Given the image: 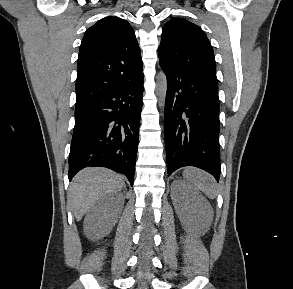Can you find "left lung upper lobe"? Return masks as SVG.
Masks as SVG:
<instances>
[{
	"label": "left lung upper lobe",
	"instance_id": "left-lung-upper-lobe-1",
	"mask_svg": "<svg viewBox=\"0 0 293 289\" xmlns=\"http://www.w3.org/2000/svg\"><path fill=\"white\" fill-rule=\"evenodd\" d=\"M158 55L160 64L169 69L217 79L213 48L205 32L185 19L174 18L165 24Z\"/></svg>",
	"mask_w": 293,
	"mask_h": 289
}]
</instances>
